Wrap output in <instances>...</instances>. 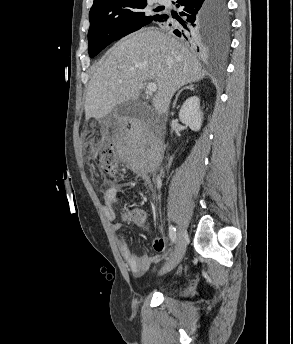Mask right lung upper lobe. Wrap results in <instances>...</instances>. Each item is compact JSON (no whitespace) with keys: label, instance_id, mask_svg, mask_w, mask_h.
<instances>
[{"label":"right lung upper lobe","instance_id":"cb5924a9","mask_svg":"<svg viewBox=\"0 0 293 344\" xmlns=\"http://www.w3.org/2000/svg\"><path fill=\"white\" fill-rule=\"evenodd\" d=\"M119 0H94L93 6L91 7V10L96 9L98 7H102L108 4H111L113 2H116Z\"/></svg>","mask_w":293,"mask_h":344}]
</instances>
